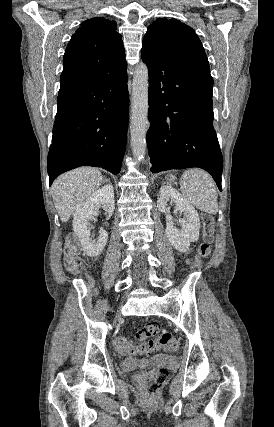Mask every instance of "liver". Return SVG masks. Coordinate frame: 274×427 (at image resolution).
<instances>
[{
  "label": "liver",
  "instance_id": "obj_1",
  "mask_svg": "<svg viewBox=\"0 0 274 427\" xmlns=\"http://www.w3.org/2000/svg\"><path fill=\"white\" fill-rule=\"evenodd\" d=\"M101 184L103 176L96 168H77L59 176L52 184V198L61 221H68L77 206Z\"/></svg>",
  "mask_w": 274,
  "mask_h": 427
}]
</instances>
